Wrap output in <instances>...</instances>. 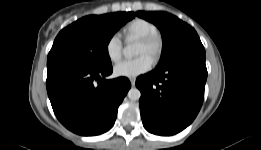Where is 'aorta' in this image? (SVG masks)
I'll use <instances>...</instances> for the list:
<instances>
[{"instance_id":"aorta-1","label":"aorta","mask_w":261,"mask_h":150,"mask_svg":"<svg viewBox=\"0 0 261 150\" xmlns=\"http://www.w3.org/2000/svg\"><path fill=\"white\" fill-rule=\"evenodd\" d=\"M140 52H141V48L137 44H129V45L125 46L124 49H123L124 56L128 57V58L133 57V56H137V55L140 54ZM127 96L130 100L136 101V100L140 99L141 92L137 88H131L128 91Z\"/></svg>"}]
</instances>
